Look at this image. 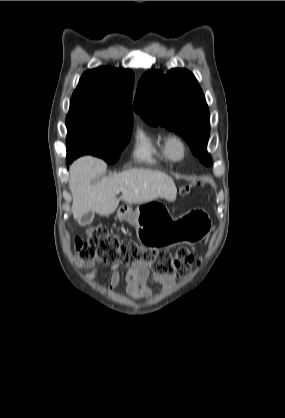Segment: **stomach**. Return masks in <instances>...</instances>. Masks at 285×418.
Listing matches in <instances>:
<instances>
[{
  "label": "stomach",
  "mask_w": 285,
  "mask_h": 418,
  "mask_svg": "<svg viewBox=\"0 0 285 418\" xmlns=\"http://www.w3.org/2000/svg\"><path fill=\"white\" fill-rule=\"evenodd\" d=\"M144 205L135 211L126 206L117 212L119 219L129 222L136 229L138 239L145 244H152L161 238L169 240L167 244L201 241L211 231V219L205 211L193 210L174 219L162 221L158 212L144 211Z\"/></svg>",
  "instance_id": "stomach-1"
}]
</instances>
